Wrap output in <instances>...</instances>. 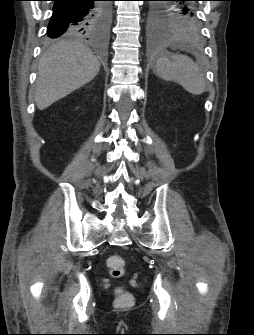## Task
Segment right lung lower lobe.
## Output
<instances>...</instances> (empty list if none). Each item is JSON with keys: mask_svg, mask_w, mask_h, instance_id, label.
<instances>
[{"mask_svg": "<svg viewBox=\"0 0 254 335\" xmlns=\"http://www.w3.org/2000/svg\"><path fill=\"white\" fill-rule=\"evenodd\" d=\"M47 36L51 39L76 32L89 35L100 12V0H53Z\"/></svg>", "mask_w": 254, "mask_h": 335, "instance_id": "98d812e1", "label": "right lung lower lobe"}]
</instances>
